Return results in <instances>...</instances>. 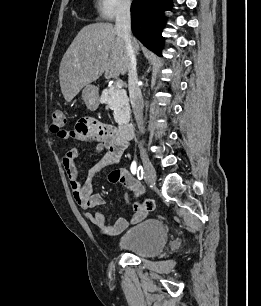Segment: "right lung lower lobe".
Masks as SVG:
<instances>
[{
	"mask_svg": "<svg viewBox=\"0 0 261 306\" xmlns=\"http://www.w3.org/2000/svg\"><path fill=\"white\" fill-rule=\"evenodd\" d=\"M170 6L171 0H133L131 5L133 34L160 56L164 41L161 32L166 22L164 11Z\"/></svg>",
	"mask_w": 261,
	"mask_h": 306,
	"instance_id": "right-lung-lower-lobe-1",
	"label": "right lung lower lobe"
}]
</instances>
